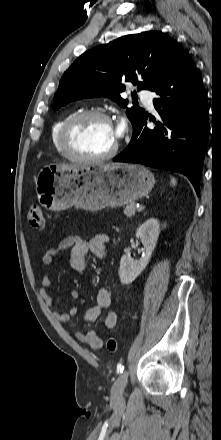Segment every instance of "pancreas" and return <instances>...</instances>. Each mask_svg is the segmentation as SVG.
I'll return each instance as SVG.
<instances>
[{"label":"pancreas","mask_w":221,"mask_h":440,"mask_svg":"<svg viewBox=\"0 0 221 440\" xmlns=\"http://www.w3.org/2000/svg\"><path fill=\"white\" fill-rule=\"evenodd\" d=\"M137 211H138V208H136L135 203H130V204L126 205L124 208V214L127 217L133 216L135 214V212H137Z\"/></svg>","instance_id":"1"}]
</instances>
